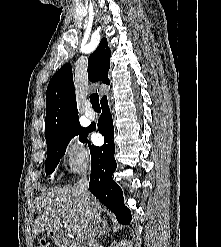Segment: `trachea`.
Instances as JSON below:
<instances>
[{
  "instance_id": "trachea-1",
  "label": "trachea",
  "mask_w": 221,
  "mask_h": 247,
  "mask_svg": "<svg viewBox=\"0 0 221 247\" xmlns=\"http://www.w3.org/2000/svg\"><path fill=\"white\" fill-rule=\"evenodd\" d=\"M90 102L92 104L93 109L100 110L99 96L97 93H94L90 96Z\"/></svg>"
}]
</instances>
